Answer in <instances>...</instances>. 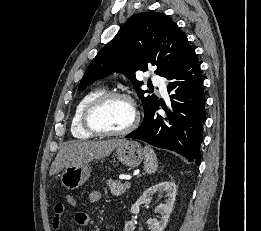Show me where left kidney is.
<instances>
[{"label": "left kidney", "instance_id": "5707ae66", "mask_svg": "<svg viewBox=\"0 0 261 231\" xmlns=\"http://www.w3.org/2000/svg\"><path fill=\"white\" fill-rule=\"evenodd\" d=\"M166 193V202L160 204L155 208V212L160 214V220L148 219L147 224L151 231H163L167 225L170 214L173 210V205L176 198L177 187L173 182H160L143 192L140 198L136 201L135 204L131 207V213L137 214L140 210V205L144 203H149L152 199V196L155 193ZM135 226L133 221H128L125 224L124 231H134Z\"/></svg>", "mask_w": 261, "mask_h": 231}]
</instances>
